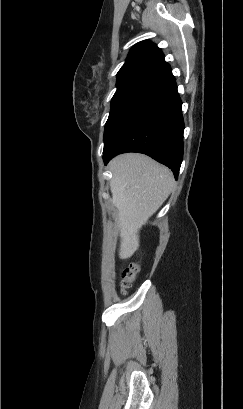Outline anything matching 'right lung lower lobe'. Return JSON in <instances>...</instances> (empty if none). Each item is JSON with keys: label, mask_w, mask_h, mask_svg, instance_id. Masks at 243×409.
I'll list each match as a JSON object with an SVG mask.
<instances>
[{"label": "right lung lower lobe", "mask_w": 243, "mask_h": 409, "mask_svg": "<svg viewBox=\"0 0 243 409\" xmlns=\"http://www.w3.org/2000/svg\"><path fill=\"white\" fill-rule=\"evenodd\" d=\"M181 106L170 74L122 123L103 151L105 165L118 154L139 152L168 166L177 179L184 146Z\"/></svg>", "instance_id": "1"}]
</instances>
